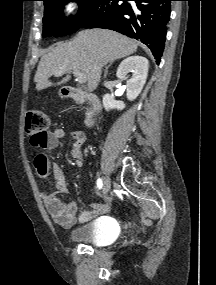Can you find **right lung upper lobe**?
Returning a JSON list of instances; mask_svg holds the SVG:
<instances>
[{"mask_svg":"<svg viewBox=\"0 0 216 285\" xmlns=\"http://www.w3.org/2000/svg\"><path fill=\"white\" fill-rule=\"evenodd\" d=\"M42 1H44V3H47V2L50 1V0H42Z\"/></svg>","mask_w":216,"mask_h":285,"instance_id":"1","label":"right lung upper lobe"}]
</instances>
